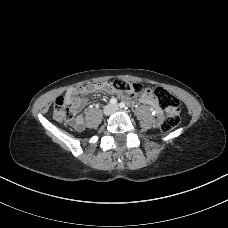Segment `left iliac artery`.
<instances>
[{
	"label": "left iliac artery",
	"instance_id": "1",
	"mask_svg": "<svg viewBox=\"0 0 228 228\" xmlns=\"http://www.w3.org/2000/svg\"><path fill=\"white\" fill-rule=\"evenodd\" d=\"M119 106H120V108H125V107H126V105H125L124 102H121V103L119 104Z\"/></svg>",
	"mask_w": 228,
	"mask_h": 228
}]
</instances>
